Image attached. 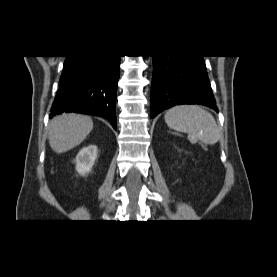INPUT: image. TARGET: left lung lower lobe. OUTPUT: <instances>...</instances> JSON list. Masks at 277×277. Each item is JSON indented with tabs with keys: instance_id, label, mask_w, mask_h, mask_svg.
<instances>
[{
	"instance_id": "0a47b994",
	"label": "left lung lower lobe",
	"mask_w": 277,
	"mask_h": 277,
	"mask_svg": "<svg viewBox=\"0 0 277 277\" xmlns=\"http://www.w3.org/2000/svg\"><path fill=\"white\" fill-rule=\"evenodd\" d=\"M180 104H202L218 111L203 56H153L151 118Z\"/></svg>"
}]
</instances>
